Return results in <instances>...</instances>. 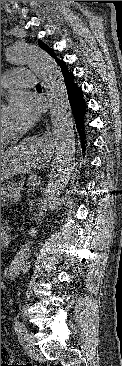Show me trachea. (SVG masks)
<instances>
[{
    "mask_svg": "<svg viewBox=\"0 0 122 366\" xmlns=\"http://www.w3.org/2000/svg\"><path fill=\"white\" fill-rule=\"evenodd\" d=\"M36 88H41V85H40V84H38V85L36 86Z\"/></svg>",
    "mask_w": 122,
    "mask_h": 366,
    "instance_id": "trachea-1",
    "label": "trachea"
}]
</instances>
